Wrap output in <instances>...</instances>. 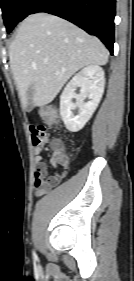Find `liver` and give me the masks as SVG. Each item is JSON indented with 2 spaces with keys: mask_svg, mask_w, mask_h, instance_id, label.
Segmentation results:
<instances>
[{
  "mask_svg": "<svg viewBox=\"0 0 134 281\" xmlns=\"http://www.w3.org/2000/svg\"><path fill=\"white\" fill-rule=\"evenodd\" d=\"M9 60L23 106L43 107L79 69L105 65L108 51L97 37L74 24L35 13L20 24L10 45Z\"/></svg>",
  "mask_w": 134,
  "mask_h": 281,
  "instance_id": "1",
  "label": "liver"
}]
</instances>
